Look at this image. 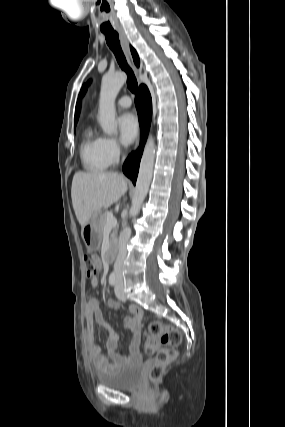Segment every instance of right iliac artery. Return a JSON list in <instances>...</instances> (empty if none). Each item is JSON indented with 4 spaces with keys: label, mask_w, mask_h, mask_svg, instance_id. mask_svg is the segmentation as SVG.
<instances>
[{
    "label": "right iliac artery",
    "mask_w": 285,
    "mask_h": 427,
    "mask_svg": "<svg viewBox=\"0 0 285 427\" xmlns=\"http://www.w3.org/2000/svg\"><path fill=\"white\" fill-rule=\"evenodd\" d=\"M109 283L110 285L114 286L116 283V274L115 272H112L109 276Z\"/></svg>",
    "instance_id": "right-iliac-artery-1"
}]
</instances>
